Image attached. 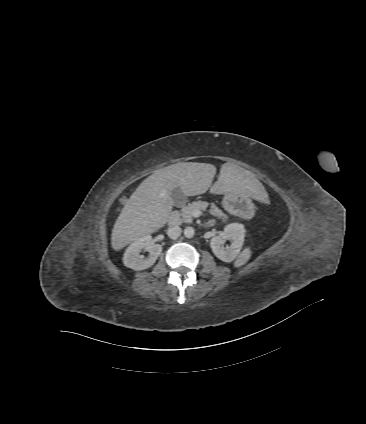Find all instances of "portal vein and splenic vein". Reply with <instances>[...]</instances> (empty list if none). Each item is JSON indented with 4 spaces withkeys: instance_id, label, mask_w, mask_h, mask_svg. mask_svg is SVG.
<instances>
[{
    "instance_id": "obj_1",
    "label": "portal vein and splenic vein",
    "mask_w": 366,
    "mask_h": 424,
    "mask_svg": "<svg viewBox=\"0 0 366 424\" xmlns=\"http://www.w3.org/2000/svg\"><path fill=\"white\" fill-rule=\"evenodd\" d=\"M198 213H199L198 211H194L193 212V215H197L198 216Z\"/></svg>"
}]
</instances>
